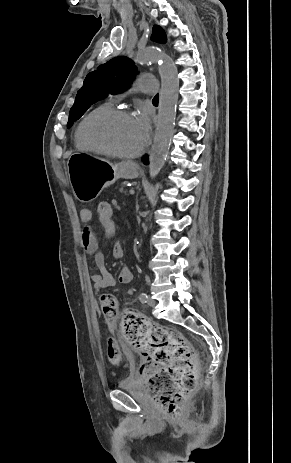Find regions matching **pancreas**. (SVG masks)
<instances>
[{
	"label": "pancreas",
	"instance_id": "obj_1",
	"mask_svg": "<svg viewBox=\"0 0 291 463\" xmlns=\"http://www.w3.org/2000/svg\"><path fill=\"white\" fill-rule=\"evenodd\" d=\"M116 189L118 190L120 194L127 195L128 189L124 183H121L120 185H118Z\"/></svg>",
	"mask_w": 291,
	"mask_h": 463
}]
</instances>
